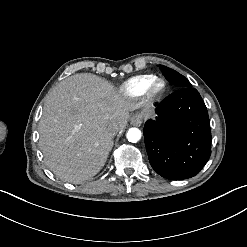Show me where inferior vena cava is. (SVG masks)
Wrapping results in <instances>:
<instances>
[{
    "mask_svg": "<svg viewBox=\"0 0 247 247\" xmlns=\"http://www.w3.org/2000/svg\"><path fill=\"white\" fill-rule=\"evenodd\" d=\"M119 131H120V128L118 126H113L109 128V135L111 137H114L116 134H118Z\"/></svg>",
    "mask_w": 247,
    "mask_h": 247,
    "instance_id": "obj_1",
    "label": "inferior vena cava"
}]
</instances>
